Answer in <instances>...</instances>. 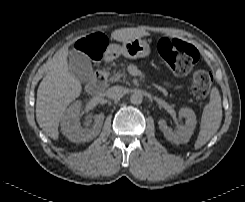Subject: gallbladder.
<instances>
[{"label": "gallbladder", "mask_w": 245, "mask_h": 202, "mask_svg": "<svg viewBox=\"0 0 245 202\" xmlns=\"http://www.w3.org/2000/svg\"><path fill=\"white\" fill-rule=\"evenodd\" d=\"M70 73L80 82L86 83L93 78L90 58L83 52L72 50L69 55Z\"/></svg>", "instance_id": "gallbladder-1"}]
</instances>
